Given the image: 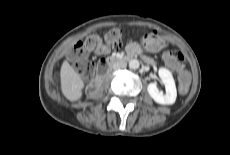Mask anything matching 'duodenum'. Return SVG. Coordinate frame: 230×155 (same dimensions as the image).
Returning <instances> with one entry per match:
<instances>
[{
  "label": "duodenum",
  "instance_id": "obj_1",
  "mask_svg": "<svg viewBox=\"0 0 230 155\" xmlns=\"http://www.w3.org/2000/svg\"><path fill=\"white\" fill-rule=\"evenodd\" d=\"M135 55H137L136 52L128 51V53L124 56H109L105 58L100 66H99V75H102L106 72V70L114 63L120 62V61H126L131 58H133ZM94 89V84L91 85L90 90Z\"/></svg>",
  "mask_w": 230,
  "mask_h": 155
}]
</instances>
